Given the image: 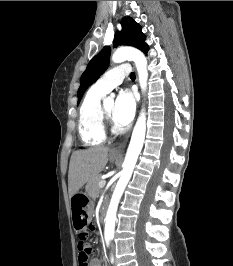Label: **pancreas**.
Returning <instances> with one entry per match:
<instances>
[{
	"instance_id": "1",
	"label": "pancreas",
	"mask_w": 233,
	"mask_h": 266,
	"mask_svg": "<svg viewBox=\"0 0 233 266\" xmlns=\"http://www.w3.org/2000/svg\"><path fill=\"white\" fill-rule=\"evenodd\" d=\"M100 181L101 179L98 176L97 178L93 179L87 184L86 191L90 197L97 198L98 195L100 194V187H99Z\"/></svg>"
}]
</instances>
